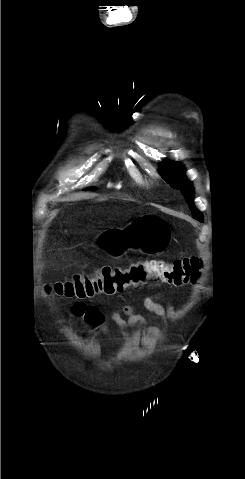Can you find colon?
Wrapping results in <instances>:
<instances>
[{"label": "colon", "instance_id": "5ec220e1", "mask_svg": "<svg viewBox=\"0 0 245 479\" xmlns=\"http://www.w3.org/2000/svg\"><path fill=\"white\" fill-rule=\"evenodd\" d=\"M202 260L187 257L166 261L150 259L132 263L127 267L103 266L91 273H79L47 287L51 294L67 298H90L98 294H115L154 280L175 286L195 283L199 277ZM84 304L73 310L86 316Z\"/></svg>", "mask_w": 245, "mask_h": 479}]
</instances>
